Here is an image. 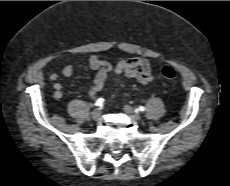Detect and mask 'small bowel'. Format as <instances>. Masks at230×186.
Masks as SVG:
<instances>
[{"mask_svg": "<svg viewBox=\"0 0 230 186\" xmlns=\"http://www.w3.org/2000/svg\"><path fill=\"white\" fill-rule=\"evenodd\" d=\"M89 67L95 72L93 83L88 89L90 96H95L104 88L109 75L114 77V81H118L119 76L124 75L127 78L136 79L144 86L153 81L151 65L147 59L142 57L122 59L115 66H112L98 56L92 55L89 58ZM74 70L75 67L73 64L65 65L62 69L63 77L69 78L74 73ZM50 78L53 81L54 97L56 99H62L63 90L58 75L52 74Z\"/></svg>", "mask_w": 230, "mask_h": 186, "instance_id": "1", "label": "small bowel"}]
</instances>
